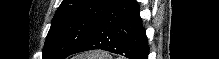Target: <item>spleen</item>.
<instances>
[{"instance_id":"1","label":"spleen","mask_w":219,"mask_h":59,"mask_svg":"<svg viewBox=\"0 0 219 59\" xmlns=\"http://www.w3.org/2000/svg\"><path fill=\"white\" fill-rule=\"evenodd\" d=\"M107 57L108 56L103 55L101 52H94L92 54L86 55V59H104V58H107Z\"/></svg>"}]
</instances>
